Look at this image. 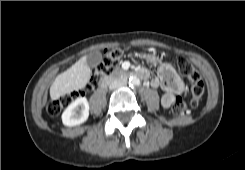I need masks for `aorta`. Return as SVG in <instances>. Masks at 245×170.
Instances as JSON below:
<instances>
[{
  "label": "aorta",
  "mask_w": 245,
  "mask_h": 170,
  "mask_svg": "<svg viewBox=\"0 0 245 170\" xmlns=\"http://www.w3.org/2000/svg\"><path fill=\"white\" fill-rule=\"evenodd\" d=\"M140 84V79L136 76H132L129 79V85L131 87L138 86Z\"/></svg>",
  "instance_id": "1"
}]
</instances>
